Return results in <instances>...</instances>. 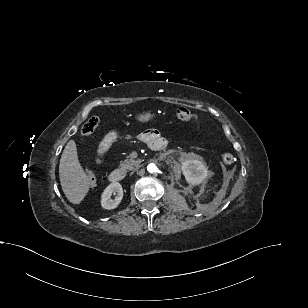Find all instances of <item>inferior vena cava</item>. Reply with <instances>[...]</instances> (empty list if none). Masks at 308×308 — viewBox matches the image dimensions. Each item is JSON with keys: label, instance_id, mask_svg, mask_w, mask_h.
Segmentation results:
<instances>
[{"label": "inferior vena cava", "instance_id": "602c4592", "mask_svg": "<svg viewBox=\"0 0 308 308\" xmlns=\"http://www.w3.org/2000/svg\"><path fill=\"white\" fill-rule=\"evenodd\" d=\"M131 173L135 175V174L138 173V170L134 168V169L131 170Z\"/></svg>", "mask_w": 308, "mask_h": 308}]
</instances>
